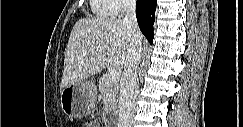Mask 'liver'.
<instances>
[{"instance_id": "obj_1", "label": "liver", "mask_w": 243, "mask_h": 127, "mask_svg": "<svg viewBox=\"0 0 243 127\" xmlns=\"http://www.w3.org/2000/svg\"><path fill=\"white\" fill-rule=\"evenodd\" d=\"M131 34L120 18H81L70 34L62 87L100 72L103 68L121 69L130 46ZM141 44L143 35L137 37Z\"/></svg>"}]
</instances>
